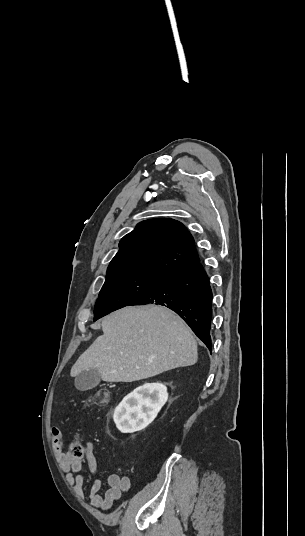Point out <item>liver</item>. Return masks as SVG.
<instances>
[{
    "mask_svg": "<svg viewBox=\"0 0 305 536\" xmlns=\"http://www.w3.org/2000/svg\"><path fill=\"white\" fill-rule=\"evenodd\" d=\"M101 326L103 336L79 356L71 378L96 368L103 382H136L197 362L190 328L165 306L122 308Z\"/></svg>",
    "mask_w": 305,
    "mask_h": 536,
    "instance_id": "6515ba94",
    "label": "liver"
}]
</instances>
